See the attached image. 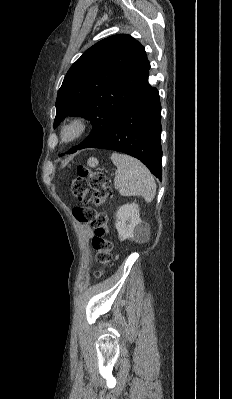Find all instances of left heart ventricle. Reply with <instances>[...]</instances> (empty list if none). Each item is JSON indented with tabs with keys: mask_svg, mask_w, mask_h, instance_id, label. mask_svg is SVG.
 Returning <instances> with one entry per match:
<instances>
[{
	"mask_svg": "<svg viewBox=\"0 0 232 399\" xmlns=\"http://www.w3.org/2000/svg\"><path fill=\"white\" fill-rule=\"evenodd\" d=\"M73 132H74L73 130H68V131H66V132H65V135H64V136H65V138H69V137H71V136H72V134H73Z\"/></svg>",
	"mask_w": 232,
	"mask_h": 399,
	"instance_id": "left-heart-ventricle-1",
	"label": "left heart ventricle"
}]
</instances>
